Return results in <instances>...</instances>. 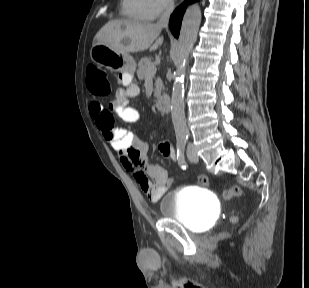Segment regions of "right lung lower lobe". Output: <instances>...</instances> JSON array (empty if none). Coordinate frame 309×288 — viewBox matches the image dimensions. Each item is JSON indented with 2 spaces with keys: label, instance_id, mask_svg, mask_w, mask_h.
Segmentation results:
<instances>
[{
  "label": "right lung lower lobe",
  "instance_id": "1",
  "mask_svg": "<svg viewBox=\"0 0 309 288\" xmlns=\"http://www.w3.org/2000/svg\"><path fill=\"white\" fill-rule=\"evenodd\" d=\"M197 0H186V2L179 8L177 9L173 14H172V17L170 19V22H169V27H170V30L172 32V34L178 38L179 36V31H180V24H181V19H182V16L184 14V11H185V6L188 2H196Z\"/></svg>",
  "mask_w": 309,
  "mask_h": 288
}]
</instances>
